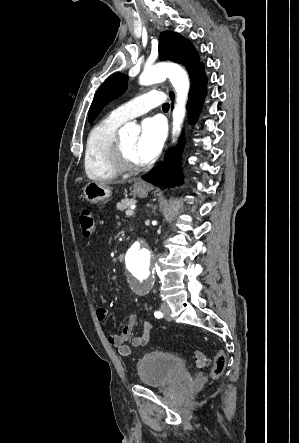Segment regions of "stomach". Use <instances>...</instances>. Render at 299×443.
<instances>
[{
    "label": "stomach",
    "instance_id": "stomach-1",
    "mask_svg": "<svg viewBox=\"0 0 299 443\" xmlns=\"http://www.w3.org/2000/svg\"><path fill=\"white\" fill-rule=\"evenodd\" d=\"M149 190L150 186L148 185L135 184L133 186V192L139 197H146ZM111 195V189L107 185L88 183L83 189L84 198L91 204H105L108 202Z\"/></svg>",
    "mask_w": 299,
    "mask_h": 443
}]
</instances>
